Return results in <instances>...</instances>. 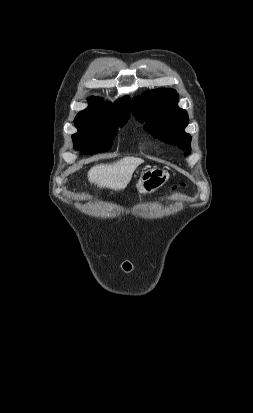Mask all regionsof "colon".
<instances>
[{"label": "colon", "instance_id": "colon-1", "mask_svg": "<svg viewBox=\"0 0 253 413\" xmlns=\"http://www.w3.org/2000/svg\"><path fill=\"white\" fill-rule=\"evenodd\" d=\"M184 186H185L184 183H182V184H180V185H178V186H174V187L172 188V191H176L178 188L184 187Z\"/></svg>", "mask_w": 253, "mask_h": 413}]
</instances>
